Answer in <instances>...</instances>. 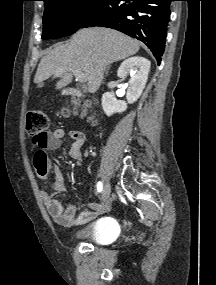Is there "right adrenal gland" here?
<instances>
[{
    "label": "right adrenal gland",
    "instance_id": "right-adrenal-gland-1",
    "mask_svg": "<svg viewBox=\"0 0 216 285\" xmlns=\"http://www.w3.org/2000/svg\"><path fill=\"white\" fill-rule=\"evenodd\" d=\"M109 68H110V66L107 67L106 74H107Z\"/></svg>",
    "mask_w": 216,
    "mask_h": 285
}]
</instances>
